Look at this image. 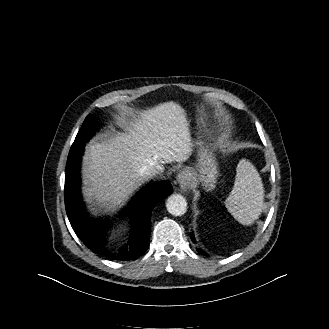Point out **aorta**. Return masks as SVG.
<instances>
[{
    "label": "aorta",
    "mask_w": 329,
    "mask_h": 329,
    "mask_svg": "<svg viewBox=\"0 0 329 329\" xmlns=\"http://www.w3.org/2000/svg\"><path fill=\"white\" fill-rule=\"evenodd\" d=\"M167 211L174 216H181L187 211V202L181 194H173L166 202Z\"/></svg>",
    "instance_id": "1"
}]
</instances>
